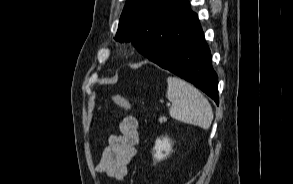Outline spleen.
Listing matches in <instances>:
<instances>
[{"instance_id": "1", "label": "spleen", "mask_w": 293, "mask_h": 184, "mask_svg": "<svg viewBox=\"0 0 293 184\" xmlns=\"http://www.w3.org/2000/svg\"><path fill=\"white\" fill-rule=\"evenodd\" d=\"M166 97L172 103L170 116L178 121L208 129L213 111L208 100L190 83L178 78H167Z\"/></svg>"}]
</instances>
